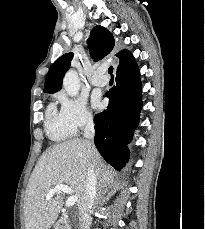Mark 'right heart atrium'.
I'll list each match as a JSON object with an SVG mask.
<instances>
[{
  "mask_svg": "<svg viewBox=\"0 0 205 229\" xmlns=\"http://www.w3.org/2000/svg\"><path fill=\"white\" fill-rule=\"evenodd\" d=\"M61 104V115L67 125L74 131L78 132L89 127L94 122V116L82 98H71L63 92L56 95Z\"/></svg>",
  "mask_w": 205,
  "mask_h": 229,
  "instance_id": "d8ad5b80",
  "label": "right heart atrium"
}]
</instances>
